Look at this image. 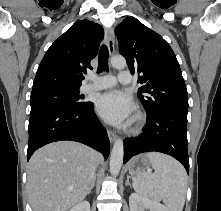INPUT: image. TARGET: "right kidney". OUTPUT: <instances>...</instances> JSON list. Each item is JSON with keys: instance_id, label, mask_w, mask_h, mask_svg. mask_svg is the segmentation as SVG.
Segmentation results:
<instances>
[{"instance_id": "1", "label": "right kidney", "mask_w": 221, "mask_h": 211, "mask_svg": "<svg viewBox=\"0 0 221 211\" xmlns=\"http://www.w3.org/2000/svg\"><path fill=\"white\" fill-rule=\"evenodd\" d=\"M69 211H90V204L88 201H83L75 205Z\"/></svg>"}]
</instances>
